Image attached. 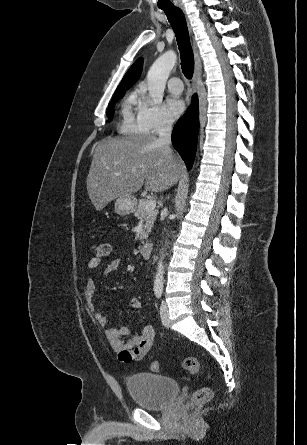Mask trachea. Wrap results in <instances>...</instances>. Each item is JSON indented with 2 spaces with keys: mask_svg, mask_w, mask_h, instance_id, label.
Returning a JSON list of instances; mask_svg holds the SVG:
<instances>
[{
  "mask_svg": "<svg viewBox=\"0 0 307 445\" xmlns=\"http://www.w3.org/2000/svg\"><path fill=\"white\" fill-rule=\"evenodd\" d=\"M164 10L178 42L181 54V68L185 77L190 80L194 72V55L189 40V32L185 21L184 14L180 8L169 6L161 8Z\"/></svg>",
  "mask_w": 307,
  "mask_h": 445,
  "instance_id": "obj_1",
  "label": "trachea"
}]
</instances>
